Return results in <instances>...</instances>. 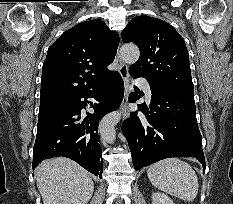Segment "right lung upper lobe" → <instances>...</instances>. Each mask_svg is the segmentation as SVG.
I'll return each instance as SVG.
<instances>
[{
	"mask_svg": "<svg viewBox=\"0 0 233 204\" xmlns=\"http://www.w3.org/2000/svg\"><path fill=\"white\" fill-rule=\"evenodd\" d=\"M119 36L100 19L65 31L48 49L41 76L40 104L70 99L96 88L114 71Z\"/></svg>",
	"mask_w": 233,
	"mask_h": 204,
	"instance_id": "1",
	"label": "right lung upper lobe"
}]
</instances>
